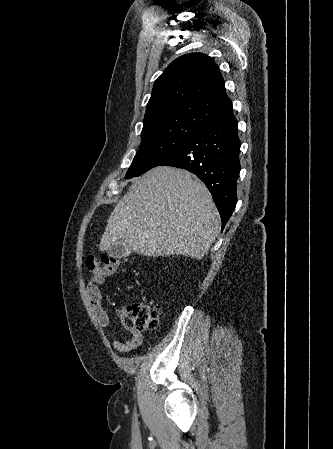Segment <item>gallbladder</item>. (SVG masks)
Instances as JSON below:
<instances>
[{
    "label": "gallbladder",
    "instance_id": "bac80fb5",
    "mask_svg": "<svg viewBox=\"0 0 333 449\" xmlns=\"http://www.w3.org/2000/svg\"><path fill=\"white\" fill-rule=\"evenodd\" d=\"M131 253V248L127 244L124 245L122 242H117L108 249L109 256L114 258H124L129 256Z\"/></svg>",
    "mask_w": 333,
    "mask_h": 449
}]
</instances>
